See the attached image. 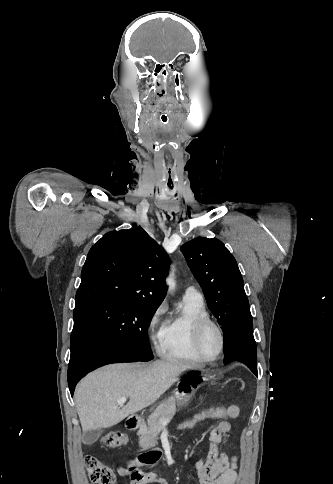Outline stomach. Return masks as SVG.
<instances>
[{
  "mask_svg": "<svg viewBox=\"0 0 333 484\" xmlns=\"http://www.w3.org/2000/svg\"><path fill=\"white\" fill-rule=\"evenodd\" d=\"M206 375H197L192 379H185L178 383L174 393V396L177 399L178 405H183L187 403L195 393V391L203 385V377ZM166 401L163 400L160 402L159 406Z\"/></svg>",
  "mask_w": 333,
  "mask_h": 484,
  "instance_id": "obj_1",
  "label": "stomach"
}]
</instances>
